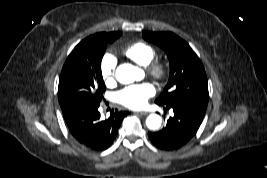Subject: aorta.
I'll use <instances>...</instances> for the list:
<instances>
[{"label":"aorta","mask_w":267,"mask_h":178,"mask_svg":"<svg viewBox=\"0 0 267 178\" xmlns=\"http://www.w3.org/2000/svg\"><path fill=\"white\" fill-rule=\"evenodd\" d=\"M141 75V70L131 64L125 63L118 66L116 70V79L122 84H129L134 82ZM162 119L157 114H150L146 119V126L150 130H157L160 128Z\"/></svg>","instance_id":"1"}]
</instances>
